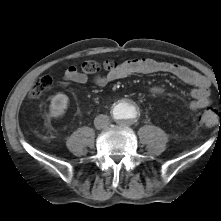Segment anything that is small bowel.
<instances>
[{"mask_svg": "<svg viewBox=\"0 0 221 221\" xmlns=\"http://www.w3.org/2000/svg\"><path fill=\"white\" fill-rule=\"evenodd\" d=\"M155 73L169 74L184 83L192 85L194 88L191 91V101L189 104L192 110L197 111L210 106V81L198 72L174 63L160 62L145 58L128 59L117 65L114 70L105 75L95 77L94 83L99 87H104L110 82L131 75ZM63 79L66 82L82 84L87 82L88 77L83 72L71 66L64 72ZM151 92L154 94H161L164 92V89L155 86L151 89Z\"/></svg>", "mask_w": 221, "mask_h": 221, "instance_id": "obj_1", "label": "small bowel"}]
</instances>
